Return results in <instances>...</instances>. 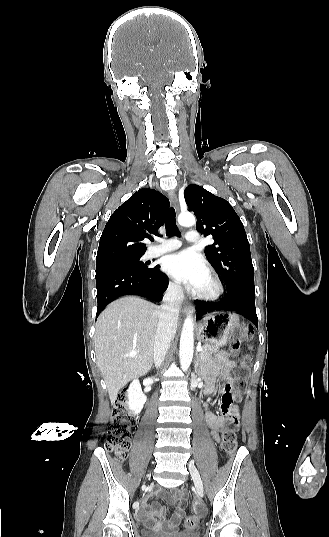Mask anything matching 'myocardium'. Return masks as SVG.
Listing matches in <instances>:
<instances>
[{"label":"myocardium","mask_w":329,"mask_h":537,"mask_svg":"<svg viewBox=\"0 0 329 537\" xmlns=\"http://www.w3.org/2000/svg\"><path fill=\"white\" fill-rule=\"evenodd\" d=\"M208 276L212 281V288L209 291L197 290L196 296L201 300L213 301L222 296L224 293V285L221 278L215 271L209 269Z\"/></svg>","instance_id":"myocardium-1"}]
</instances>
